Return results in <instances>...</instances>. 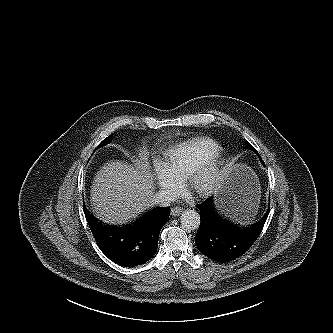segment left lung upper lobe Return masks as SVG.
I'll use <instances>...</instances> for the list:
<instances>
[{
  "mask_svg": "<svg viewBox=\"0 0 333 333\" xmlns=\"http://www.w3.org/2000/svg\"><path fill=\"white\" fill-rule=\"evenodd\" d=\"M247 146H248L251 150H253L254 152H256V154H258L257 151L255 150V148H254L250 143L247 142ZM258 156H259V154H258ZM259 158H260V156H259ZM260 160H261V158H260ZM261 161H262V160H261ZM262 162H263V161H262Z\"/></svg>",
  "mask_w": 333,
  "mask_h": 333,
  "instance_id": "1",
  "label": "left lung upper lobe"
}]
</instances>
